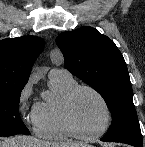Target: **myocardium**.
<instances>
[{"label": "myocardium", "instance_id": "myocardium-1", "mask_svg": "<svg viewBox=\"0 0 145 147\" xmlns=\"http://www.w3.org/2000/svg\"><path fill=\"white\" fill-rule=\"evenodd\" d=\"M81 91H89L93 93L102 103L105 113H106V122L102 129L96 132H86L77 122L74 110H73V104L74 100L77 97V95ZM63 113L66 122L68 123L71 130L79 137L83 139H95L100 136H102L107 130L109 129L111 122H112V111L110 108V105L106 98L103 96V94L98 91L96 88L90 86V85H76L65 97L63 101Z\"/></svg>", "mask_w": 145, "mask_h": 147}]
</instances>
